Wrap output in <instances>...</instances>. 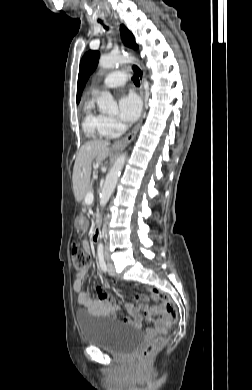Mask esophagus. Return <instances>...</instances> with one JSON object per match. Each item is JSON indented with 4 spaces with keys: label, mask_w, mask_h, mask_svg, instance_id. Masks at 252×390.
Returning a JSON list of instances; mask_svg holds the SVG:
<instances>
[{
    "label": "esophagus",
    "mask_w": 252,
    "mask_h": 390,
    "mask_svg": "<svg viewBox=\"0 0 252 390\" xmlns=\"http://www.w3.org/2000/svg\"><path fill=\"white\" fill-rule=\"evenodd\" d=\"M114 24L116 26H118V24L116 22H114ZM130 67L135 72V74L138 76V78L141 82L142 95L144 96L145 95V74H144L143 70L141 69V67L135 63H131ZM144 116H145V111L143 112L140 121L133 128V130L130 133H128L123 139L117 141L115 143V147L123 148V147L127 146L134 139L136 133L138 132V130L143 122Z\"/></svg>",
    "instance_id": "obj_1"
}]
</instances>
